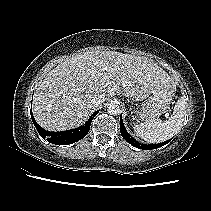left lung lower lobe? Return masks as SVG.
<instances>
[{
  "label": "left lung lower lobe",
  "instance_id": "left-lung-lower-lobe-1",
  "mask_svg": "<svg viewBox=\"0 0 211 211\" xmlns=\"http://www.w3.org/2000/svg\"><path fill=\"white\" fill-rule=\"evenodd\" d=\"M120 132H121L122 137L129 144H131L132 146H134L136 148L143 149V150L156 149V148L162 147L163 145H165L169 142V140H168V141L160 143V144H149V145L139 143L127 132V130H126L124 124H123L121 116H120Z\"/></svg>",
  "mask_w": 211,
  "mask_h": 211
}]
</instances>
